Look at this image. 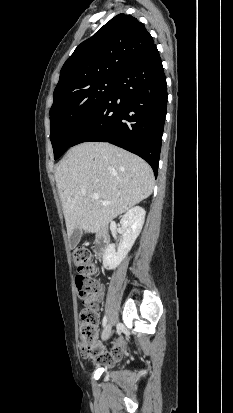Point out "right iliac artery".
<instances>
[{
  "mask_svg": "<svg viewBox=\"0 0 233 413\" xmlns=\"http://www.w3.org/2000/svg\"><path fill=\"white\" fill-rule=\"evenodd\" d=\"M106 323H107V317H106V316H104V318H103V322H102L103 327H105V326H106Z\"/></svg>",
  "mask_w": 233,
  "mask_h": 413,
  "instance_id": "1",
  "label": "right iliac artery"
}]
</instances>
